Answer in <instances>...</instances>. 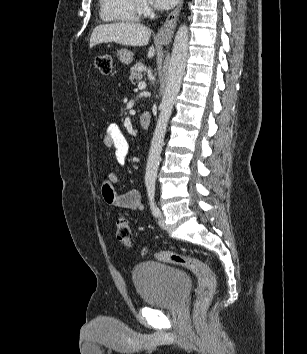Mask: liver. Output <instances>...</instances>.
<instances>
[{"label":"liver","mask_w":307,"mask_h":354,"mask_svg":"<svg viewBox=\"0 0 307 354\" xmlns=\"http://www.w3.org/2000/svg\"><path fill=\"white\" fill-rule=\"evenodd\" d=\"M151 36L150 28L139 23H112L97 26L90 37V48L102 43L115 42L126 46H145ZM152 45L148 51V58L155 55Z\"/></svg>","instance_id":"obj_1"}]
</instances>
